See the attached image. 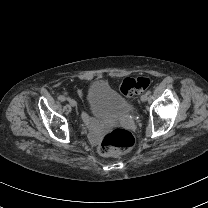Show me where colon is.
Here are the masks:
<instances>
[{"mask_svg": "<svg viewBox=\"0 0 208 208\" xmlns=\"http://www.w3.org/2000/svg\"><path fill=\"white\" fill-rule=\"evenodd\" d=\"M149 86L150 80L147 77H127L119 84L118 90L123 96H131L146 90ZM135 144L136 139L130 129L114 126L102 137L98 150L105 157L124 155L133 149Z\"/></svg>", "mask_w": 208, "mask_h": 208, "instance_id": "1", "label": "colon"}]
</instances>
